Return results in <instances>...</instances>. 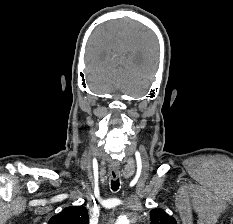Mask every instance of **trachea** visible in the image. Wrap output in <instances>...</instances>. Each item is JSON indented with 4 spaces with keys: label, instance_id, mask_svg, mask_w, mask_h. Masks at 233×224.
Returning a JSON list of instances; mask_svg holds the SVG:
<instances>
[{
    "label": "trachea",
    "instance_id": "1",
    "mask_svg": "<svg viewBox=\"0 0 233 224\" xmlns=\"http://www.w3.org/2000/svg\"><path fill=\"white\" fill-rule=\"evenodd\" d=\"M119 186H120L119 179L111 181V188L113 191H117L119 189Z\"/></svg>",
    "mask_w": 233,
    "mask_h": 224
}]
</instances>
